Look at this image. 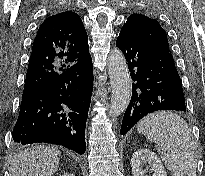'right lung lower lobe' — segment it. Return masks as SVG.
Segmentation results:
<instances>
[{"label":"right lung lower lobe","mask_w":205,"mask_h":176,"mask_svg":"<svg viewBox=\"0 0 205 176\" xmlns=\"http://www.w3.org/2000/svg\"><path fill=\"white\" fill-rule=\"evenodd\" d=\"M92 89L93 66L89 55L22 97L13 141L52 143L83 154Z\"/></svg>","instance_id":"right-lung-lower-lobe-1"}]
</instances>
